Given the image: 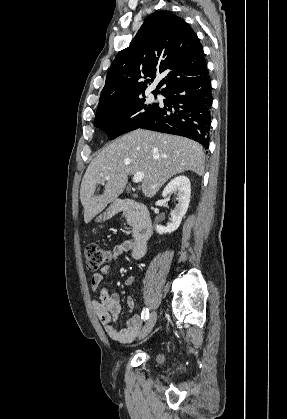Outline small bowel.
<instances>
[{"label":"small bowel","mask_w":287,"mask_h":419,"mask_svg":"<svg viewBox=\"0 0 287 419\" xmlns=\"http://www.w3.org/2000/svg\"><path fill=\"white\" fill-rule=\"evenodd\" d=\"M134 247V240H126L113 248V264L103 267L99 272L93 274L91 277V288L93 291H97L100 288L102 280L113 271L114 265L118 262L119 257L124 252L132 251ZM134 280L133 276H129L125 279L124 283L126 286H132ZM127 307L130 312L134 309L135 301L132 297H128ZM93 308L98 319L102 323L105 332L113 340L119 343H130L140 333L141 318L138 315H131L128 318L126 328L118 329L115 327V322L122 311L120 297L117 292H111L107 287L101 288L99 301H93Z\"/></svg>","instance_id":"c3829d8e"}]
</instances>
